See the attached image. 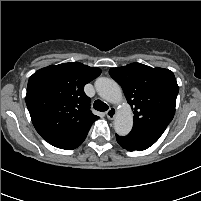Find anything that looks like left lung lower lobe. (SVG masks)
I'll return each instance as SVG.
<instances>
[{
	"instance_id": "left-lung-lower-lobe-1",
	"label": "left lung lower lobe",
	"mask_w": 201,
	"mask_h": 201,
	"mask_svg": "<svg viewBox=\"0 0 201 201\" xmlns=\"http://www.w3.org/2000/svg\"><path fill=\"white\" fill-rule=\"evenodd\" d=\"M162 134L156 132L131 131L127 136L116 135L119 145L128 151H142L152 146Z\"/></svg>"
}]
</instances>
